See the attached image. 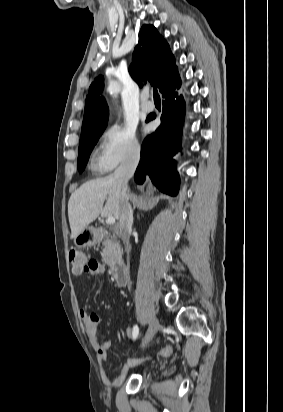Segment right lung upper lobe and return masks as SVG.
I'll return each instance as SVG.
<instances>
[{
	"mask_svg": "<svg viewBox=\"0 0 283 412\" xmlns=\"http://www.w3.org/2000/svg\"><path fill=\"white\" fill-rule=\"evenodd\" d=\"M174 55L166 40L152 25H143L139 32V45L133 53V63L130 66L132 78L141 87L142 81L149 80L152 85L164 89L174 86L180 81ZM103 78L99 76L91 84L86 97L85 112L82 123L81 138L104 131L108 121V106L103 97Z\"/></svg>",
	"mask_w": 283,
	"mask_h": 412,
	"instance_id": "right-lung-upper-lobe-1",
	"label": "right lung upper lobe"
}]
</instances>
